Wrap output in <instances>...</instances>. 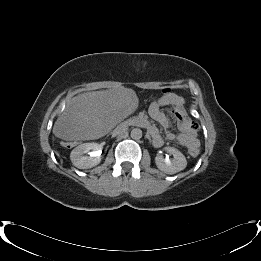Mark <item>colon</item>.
Segmentation results:
<instances>
[{
  "label": "colon",
  "instance_id": "5ec220e1",
  "mask_svg": "<svg viewBox=\"0 0 261 261\" xmlns=\"http://www.w3.org/2000/svg\"><path fill=\"white\" fill-rule=\"evenodd\" d=\"M182 105H183V104H182ZM178 122L181 123V124H183V123L186 122V120H185V118H184L183 116H180V117L178 118ZM191 125H192L193 128L196 129V126H195L194 124L191 123ZM63 145H64V146H71L70 143H63ZM188 149H189V150H188V153H189L191 156H197V155L199 154V147H198V146H190Z\"/></svg>",
  "mask_w": 261,
  "mask_h": 261
}]
</instances>
